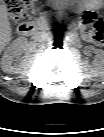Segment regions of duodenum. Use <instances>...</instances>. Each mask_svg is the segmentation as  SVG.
Returning <instances> with one entry per match:
<instances>
[{"label":"duodenum","instance_id":"410a0bca","mask_svg":"<svg viewBox=\"0 0 104 137\" xmlns=\"http://www.w3.org/2000/svg\"><path fill=\"white\" fill-rule=\"evenodd\" d=\"M35 30V25L32 22H22L18 26V32L22 36H30Z\"/></svg>","mask_w":104,"mask_h":137}]
</instances>
